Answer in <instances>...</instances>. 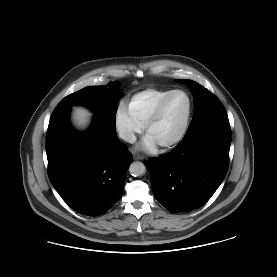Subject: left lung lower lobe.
I'll return each instance as SVG.
<instances>
[{"mask_svg": "<svg viewBox=\"0 0 277 277\" xmlns=\"http://www.w3.org/2000/svg\"><path fill=\"white\" fill-rule=\"evenodd\" d=\"M230 144L227 114L187 131L172 152L146 163L155 198L170 212L204 205L227 173Z\"/></svg>", "mask_w": 277, "mask_h": 277, "instance_id": "left-lung-lower-lobe-1", "label": "left lung lower lobe"}]
</instances>
